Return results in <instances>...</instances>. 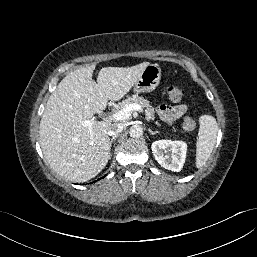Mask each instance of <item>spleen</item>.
Masks as SVG:
<instances>
[{
	"label": "spleen",
	"instance_id": "obj_1",
	"mask_svg": "<svg viewBox=\"0 0 257 257\" xmlns=\"http://www.w3.org/2000/svg\"><path fill=\"white\" fill-rule=\"evenodd\" d=\"M198 140L196 143V167L201 168L210 157L214 148L218 125L211 115H202L199 118Z\"/></svg>",
	"mask_w": 257,
	"mask_h": 257
}]
</instances>
